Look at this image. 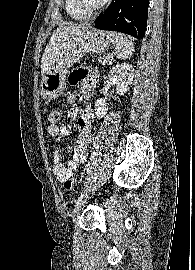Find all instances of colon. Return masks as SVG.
Listing matches in <instances>:
<instances>
[{
	"label": "colon",
	"instance_id": "colon-1",
	"mask_svg": "<svg viewBox=\"0 0 195 270\" xmlns=\"http://www.w3.org/2000/svg\"><path fill=\"white\" fill-rule=\"evenodd\" d=\"M49 125H57L62 120V110L60 108L52 109L48 114ZM76 187V180L74 178H69L64 180V188L66 190H73Z\"/></svg>",
	"mask_w": 195,
	"mask_h": 270
}]
</instances>
